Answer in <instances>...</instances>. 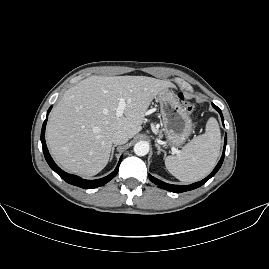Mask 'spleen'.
<instances>
[{"label":"spleen","instance_id":"3e777b00","mask_svg":"<svg viewBox=\"0 0 269 269\" xmlns=\"http://www.w3.org/2000/svg\"><path fill=\"white\" fill-rule=\"evenodd\" d=\"M220 129L215 118L208 119L204 135L191 141L180 154L168 156L165 166L178 180L191 183L204 178L219 156Z\"/></svg>","mask_w":269,"mask_h":269}]
</instances>
